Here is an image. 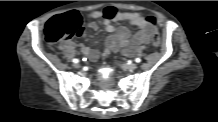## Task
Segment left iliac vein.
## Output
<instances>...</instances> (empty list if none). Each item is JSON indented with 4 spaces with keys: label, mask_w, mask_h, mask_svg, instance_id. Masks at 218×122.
<instances>
[{
    "label": "left iliac vein",
    "mask_w": 218,
    "mask_h": 122,
    "mask_svg": "<svg viewBox=\"0 0 218 122\" xmlns=\"http://www.w3.org/2000/svg\"><path fill=\"white\" fill-rule=\"evenodd\" d=\"M122 67L126 70H135L137 68V64L131 63V64H122Z\"/></svg>",
    "instance_id": "1"
}]
</instances>
